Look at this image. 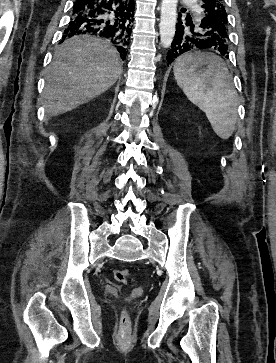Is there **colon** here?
Wrapping results in <instances>:
<instances>
[{"label":"colon","instance_id":"1","mask_svg":"<svg viewBox=\"0 0 276 363\" xmlns=\"http://www.w3.org/2000/svg\"><path fill=\"white\" fill-rule=\"evenodd\" d=\"M113 274L116 281L125 284L129 276V271L127 269H116L114 270ZM127 322H128V316L126 313H123L121 318V323L122 325L125 326Z\"/></svg>","mask_w":276,"mask_h":363}]
</instances>
